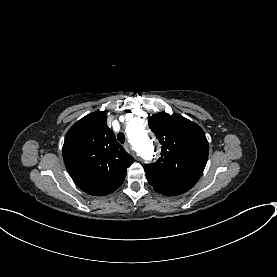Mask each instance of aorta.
Instances as JSON below:
<instances>
[{
    "instance_id": "762f6f07",
    "label": "aorta",
    "mask_w": 277,
    "mask_h": 277,
    "mask_svg": "<svg viewBox=\"0 0 277 277\" xmlns=\"http://www.w3.org/2000/svg\"><path fill=\"white\" fill-rule=\"evenodd\" d=\"M127 136L135 151L145 160L153 158L154 146L145 129L144 120L134 118L130 120L126 128Z\"/></svg>"
}]
</instances>
